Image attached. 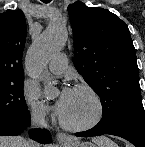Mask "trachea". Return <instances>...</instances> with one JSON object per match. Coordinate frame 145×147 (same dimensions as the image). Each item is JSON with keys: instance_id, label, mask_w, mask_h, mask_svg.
<instances>
[{"instance_id": "obj_1", "label": "trachea", "mask_w": 145, "mask_h": 147, "mask_svg": "<svg viewBox=\"0 0 145 147\" xmlns=\"http://www.w3.org/2000/svg\"><path fill=\"white\" fill-rule=\"evenodd\" d=\"M50 1H44V3H49Z\"/></svg>"}]
</instances>
